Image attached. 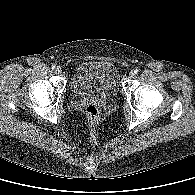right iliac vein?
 Listing matches in <instances>:
<instances>
[{"mask_svg": "<svg viewBox=\"0 0 195 195\" xmlns=\"http://www.w3.org/2000/svg\"><path fill=\"white\" fill-rule=\"evenodd\" d=\"M55 72H56L57 74H61V73H62V69H61L60 67H57V68L55 69Z\"/></svg>", "mask_w": 195, "mask_h": 195, "instance_id": "63e3f726", "label": "right iliac vein"}]
</instances>
